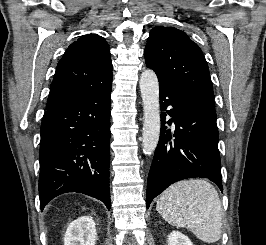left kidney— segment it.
Instances as JSON below:
<instances>
[{
	"label": "left kidney",
	"mask_w": 266,
	"mask_h": 245,
	"mask_svg": "<svg viewBox=\"0 0 266 245\" xmlns=\"http://www.w3.org/2000/svg\"><path fill=\"white\" fill-rule=\"evenodd\" d=\"M168 245H193L192 241L183 235V233H179V231H172L170 235H168Z\"/></svg>",
	"instance_id": "1"
}]
</instances>
